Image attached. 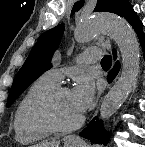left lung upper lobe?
<instances>
[{
	"label": "left lung upper lobe",
	"instance_id": "obj_1",
	"mask_svg": "<svg viewBox=\"0 0 145 147\" xmlns=\"http://www.w3.org/2000/svg\"><path fill=\"white\" fill-rule=\"evenodd\" d=\"M83 3V1L76 2L73 6L72 14L79 10ZM129 6V2L125 0H97L94 11L111 12L123 17ZM63 32L64 25L61 24L46 31L39 37L24 65L17 73L9 93L7 107H10L15 99L42 73L51 68V58L60 43Z\"/></svg>",
	"mask_w": 145,
	"mask_h": 147
}]
</instances>
